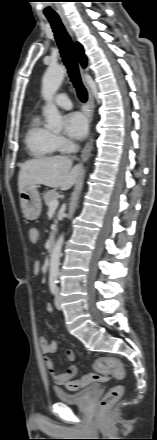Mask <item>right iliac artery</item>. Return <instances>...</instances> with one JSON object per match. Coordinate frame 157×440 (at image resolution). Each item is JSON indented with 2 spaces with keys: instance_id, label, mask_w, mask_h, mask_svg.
Returning <instances> with one entry per match:
<instances>
[{
  "instance_id": "obj_1",
  "label": "right iliac artery",
  "mask_w": 157,
  "mask_h": 440,
  "mask_svg": "<svg viewBox=\"0 0 157 440\" xmlns=\"http://www.w3.org/2000/svg\"><path fill=\"white\" fill-rule=\"evenodd\" d=\"M49 286H50V291H51V293L55 295V293H56V289H57V284H56V282H50Z\"/></svg>"
}]
</instances>
